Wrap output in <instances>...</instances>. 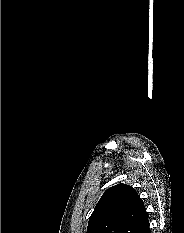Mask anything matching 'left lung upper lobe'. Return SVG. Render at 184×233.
Here are the masks:
<instances>
[{"mask_svg":"<svg viewBox=\"0 0 184 233\" xmlns=\"http://www.w3.org/2000/svg\"><path fill=\"white\" fill-rule=\"evenodd\" d=\"M148 214L134 188L118 184L105 191L89 218L86 233H144Z\"/></svg>","mask_w":184,"mask_h":233,"instance_id":"1","label":"left lung upper lobe"}]
</instances>
